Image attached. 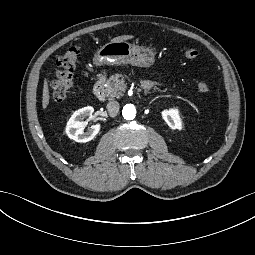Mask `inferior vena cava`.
Listing matches in <instances>:
<instances>
[{"instance_id": "obj_1", "label": "inferior vena cava", "mask_w": 255, "mask_h": 255, "mask_svg": "<svg viewBox=\"0 0 255 255\" xmlns=\"http://www.w3.org/2000/svg\"><path fill=\"white\" fill-rule=\"evenodd\" d=\"M106 109L111 117H115L119 112L120 104L117 101H109Z\"/></svg>"}]
</instances>
